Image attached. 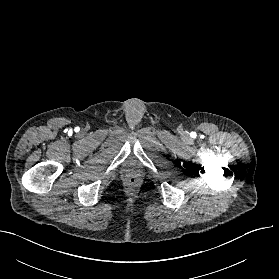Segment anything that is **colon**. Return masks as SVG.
Segmentation results:
<instances>
[{
	"mask_svg": "<svg viewBox=\"0 0 279 279\" xmlns=\"http://www.w3.org/2000/svg\"><path fill=\"white\" fill-rule=\"evenodd\" d=\"M129 181H130L131 183H134V182L136 181V177H135V176H131V177L129 178Z\"/></svg>",
	"mask_w": 279,
	"mask_h": 279,
	"instance_id": "5ec220e1",
	"label": "colon"
}]
</instances>
